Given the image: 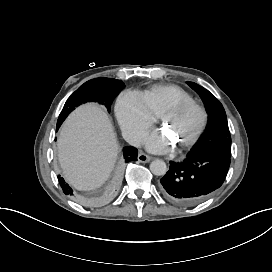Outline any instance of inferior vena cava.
<instances>
[{
    "label": "inferior vena cava",
    "instance_id": "1",
    "mask_svg": "<svg viewBox=\"0 0 272 272\" xmlns=\"http://www.w3.org/2000/svg\"><path fill=\"white\" fill-rule=\"evenodd\" d=\"M141 143V139L140 138H134L132 141V145L139 147Z\"/></svg>",
    "mask_w": 272,
    "mask_h": 272
}]
</instances>
